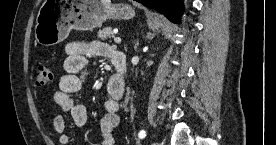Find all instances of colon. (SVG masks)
<instances>
[{
	"instance_id": "obj_1",
	"label": "colon",
	"mask_w": 276,
	"mask_h": 145,
	"mask_svg": "<svg viewBox=\"0 0 276 145\" xmlns=\"http://www.w3.org/2000/svg\"><path fill=\"white\" fill-rule=\"evenodd\" d=\"M34 80L37 86H46L51 81V71L45 65H38L34 70Z\"/></svg>"
}]
</instances>
